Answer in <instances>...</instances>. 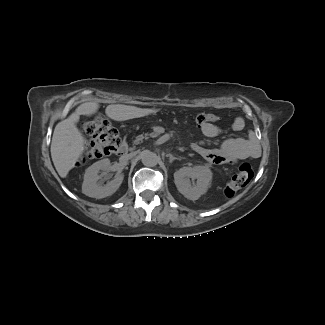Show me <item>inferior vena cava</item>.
Returning a JSON list of instances; mask_svg holds the SVG:
<instances>
[{"instance_id":"602c4592","label":"inferior vena cava","mask_w":325,"mask_h":325,"mask_svg":"<svg viewBox=\"0 0 325 325\" xmlns=\"http://www.w3.org/2000/svg\"><path fill=\"white\" fill-rule=\"evenodd\" d=\"M132 156H133L132 154H127V155H124V156H123V159H124V160L131 159Z\"/></svg>"}]
</instances>
